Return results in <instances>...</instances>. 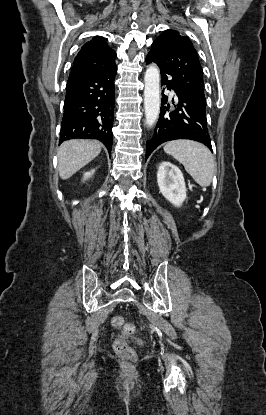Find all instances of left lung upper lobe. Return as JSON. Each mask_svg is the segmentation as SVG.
<instances>
[{
  "mask_svg": "<svg viewBox=\"0 0 266 415\" xmlns=\"http://www.w3.org/2000/svg\"><path fill=\"white\" fill-rule=\"evenodd\" d=\"M148 54L197 105L206 110L203 70L188 37L175 30H166L152 43Z\"/></svg>",
  "mask_w": 266,
  "mask_h": 415,
  "instance_id": "obj_1",
  "label": "left lung upper lobe"
}]
</instances>
